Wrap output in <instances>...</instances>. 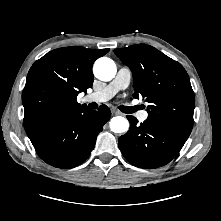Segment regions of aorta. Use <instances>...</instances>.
I'll use <instances>...</instances> for the list:
<instances>
[{
	"label": "aorta",
	"mask_w": 221,
	"mask_h": 221,
	"mask_svg": "<svg viewBox=\"0 0 221 221\" xmlns=\"http://www.w3.org/2000/svg\"><path fill=\"white\" fill-rule=\"evenodd\" d=\"M93 70L95 76L102 81H111L117 72L116 64L107 57L96 60ZM110 129L114 133L126 132L129 129V122L122 116L113 117L110 121Z\"/></svg>",
	"instance_id": "1"
}]
</instances>
